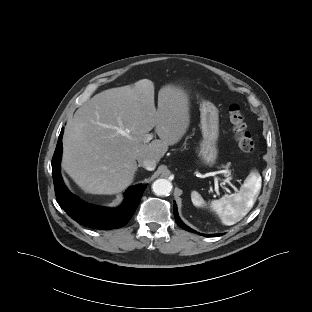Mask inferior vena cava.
<instances>
[{"instance_id": "obj_1", "label": "inferior vena cava", "mask_w": 312, "mask_h": 312, "mask_svg": "<svg viewBox=\"0 0 312 312\" xmlns=\"http://www.w3.org/2000/svg\"><path fill=\"white\" fill-rule=\"evenodd\" d=\"M139 166L145 168L146 170L152 171L156 168V161L150 158H137Z\"/></svg>"}]
</instances>
